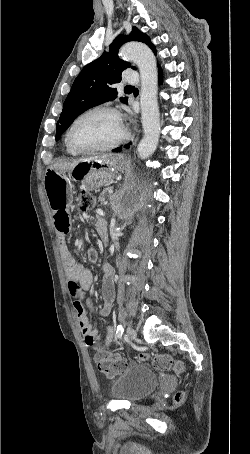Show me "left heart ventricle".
Listing matches in <instances>:
<instances>
[{"mask_svg": "<svg viewBox=\"0 0 250 454\" xmlns=\"http://www.w3.org/2000/svg\"><path fill=\"white\" fill-rule=\"evenodd\" d=\"M122 133L119 118L109 112H96L83 118L75 127L73 142L80 148L104 146Z\"/></svg>", "mask_w": 250, "mask_h": 454, "instance_id": "obj_1", "label": "left heart ventricle"}]
</instances>
